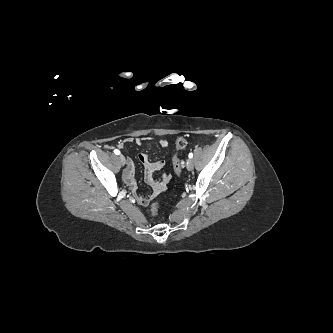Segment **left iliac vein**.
<instances>
[{"mask_svg": "<svg viewBox=\"0 0 333 333\" xmlns=\"http://www.w3.org/2000/svg\"><path fill=\"white\" fill-rule=\"evenodd\" d=\"M186 167L189 171H191L193 169V162L191 159H188L186 162Z\"/></svg>", "mask_w": 333, "mask_h": 333, "instance_id": "1", "label": "left iliac vein"}]
</instances>
